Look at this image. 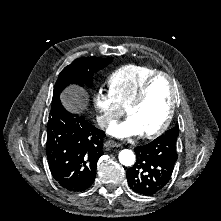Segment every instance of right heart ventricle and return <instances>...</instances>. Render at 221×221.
Wrapping results in <instances>:
<instances>
[{
    "mask_svg": "<svg viewBox=\"0 0 221 221\" xmlns=\"http://www.w3.org/2000/svg\"><path fill=\"white\" fill-rule=\"evenodd\" d=\"M158 69L141 64H127L115 69L107 77L109 91L120 105H126L135 95L142 83Z\"/></svg>",
    "mask_w": 221,
    "mask_h": 221,
    "instance_id": "right-heart-ventricle-1",
    "label": "right heart ventricle"
}]
</instances>
